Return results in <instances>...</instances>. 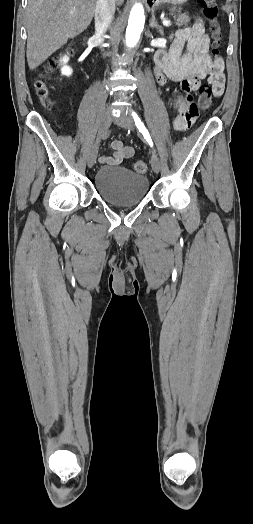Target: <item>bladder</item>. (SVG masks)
I'll use <instances>...</instances> for the list:
<instances>
[{
    "instance_id": "1",
    "label": "bladder",
    "mask_w": 253,
    "mask_h": 524,
    "mask_svg": "<svg viewBox=\"0 0 253 524\" xmlns=\"http://www.w3.org/2000/svg\"><path fill=\"white\" fill-rule=\"evenodd\" d=\"M95 188L100 197L115 206L141 203L149 191L148 178L121 166L100 167L95 175Z\"/></svg>"
}]
</instances>
